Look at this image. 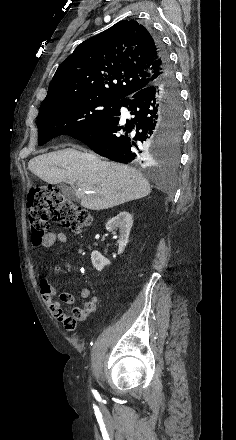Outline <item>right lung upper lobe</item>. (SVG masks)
<instances>
[{
	"label": "right lung upper lobe",
	"instance_id": "obj_1",
	"mask_svg": "<svg viewBox=\"0 0 236 440\" xmlns=\"http://www.w3.org/2000/svg\"><path fill=\"white\" fill-rule=\"evenodd\" d=\"M160 66L150 32L122 20L82 42L60 64L43 102L81 96L120 102L157 81Z\"/></svg>",
	"mask_w": 236,
	"mask_h": 440
}]
</instances>
